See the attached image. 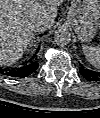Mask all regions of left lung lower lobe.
Segmentation results:
<instances>
[{"label":"left lung lower lobe","mask_w":100,"mask_h":118,"mask_svg":"<svg viewBox=\"0 0 100 118\" xmlns=\"http://www.w3.org/2000/svg\"><path fill=\"white\" fill-rule=\"evenodd\" d=\"M81 75L88 81H99L100 72H95L85 68L83 65L80 67Z\"/></svg>","instance_id":"left-lung-lower-lobe-1"}]
</instances>
